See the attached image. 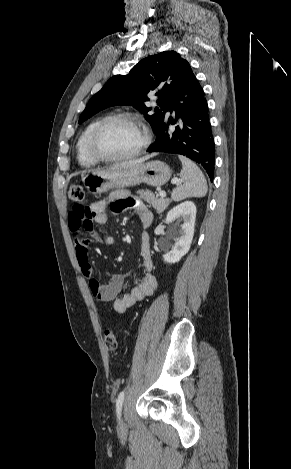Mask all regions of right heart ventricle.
<instances>
[{"mask_svg": "<svg viewBox=\"0 0 291 469\" xmlns=\"http://www.w3.org/2000/svg\"><path fill=\"white\" fill-rule=\"evenodd\" d=\"M105 117H99L91 121L80 134L76 143V154L79 164L82 167L90 168L96 166L99 161L95 159L89 151V138L93 129L101 122Z\"/></svg>", "mask_w": 291, "mask_h": 469, "instance_id": "right-heart-ventricle-1", "label": "right heart ventricle"}]
</instances>
